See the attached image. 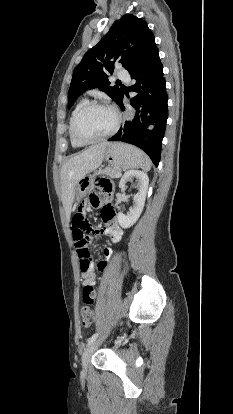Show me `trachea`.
I'll return each instance as SVG.
<instances>
[{
    "label": "trachea",
    "instance_id": "3493384b",
    "mask_svg": "<svg viewBox=\"0 0 233 414\" xmlns=\"http://www.w3.org/2000/svg\"><path fill=\"white\" fill-rule=\"evenodd\" d=\"M117 83L121 84V81H120V80H118V81H117Z\"/></svg>",
    "mask_w": 233,
    "mask_h": 414
}]
</instances>
